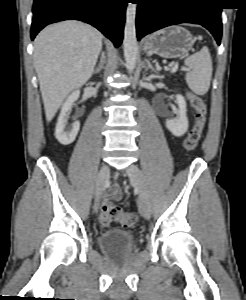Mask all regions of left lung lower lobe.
<instances>
[{"instance_id": "left-lung-lower-lobe-1", "label": "left lung lower lobe", "mask_w": 246, "mask_h": 300, "mask_svg": "<svg viewBox=\"0 0 246 300\" xmlns=\"http://www.w3.org/2000/svg\"><path fill=\"white\" fill-rule=\"evenodd\" d=\"M134 3L138 4V40L161 28L187 22L204 26L220 45L222 8L218 0H136Z\"/></svg>"}]
</instances>
